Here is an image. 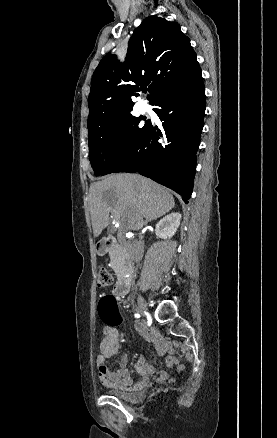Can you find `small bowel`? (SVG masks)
<instances>
[{"mask_svg":"<svg viewBox=\"0 0 277 438\" xmlns=\"http://www.w3.org/2000/svg\"><path fill=\"white\" fill-rule=\"evenodd\" d=\"M136 332L138 337L147 338L149 343L156 344L157 347V355L160 358H163L167 355L165 351L168 349L169 344L166 341L162 342V338L159 335V332L154 325L146 326L140 325L136 327ZM104 339L100 345V352L97 356L96 365L99 367L97 370V375L100 377V381L102 385L106 388H118L120 390L129 391V390H140L144 388L146 385L149 374L153 372V367L141 360H139L136 364L137 370L141 373V379L138 383L133 384L131 378L129 377V372L126 368V356L121 358L120 366L117 370L112 371V369L107 368L105 365L104 359L112 358L116 356L121 348L120 344V335L117 328L114 327H106L103 330ZM176 360H167L166 366L172 367L173 363ZM113 369H116V366H113ZM184 369V366L180 364L178 366V370L181 371ZM158 377L160 379H169V373L166 371H159Z\"/></svg>","mask_w":277,"mask_h":438,"instance_id":"1","label":"small bowel"}]
</instances>
